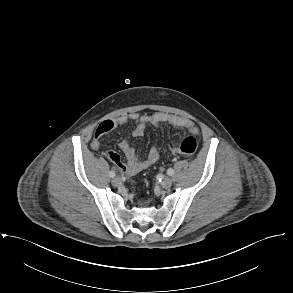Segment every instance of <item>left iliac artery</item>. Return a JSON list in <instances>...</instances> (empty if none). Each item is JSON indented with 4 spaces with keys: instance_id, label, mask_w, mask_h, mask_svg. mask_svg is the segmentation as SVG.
<instances>
[{
    "instance_id": "1",
    "label": "left iliac artery",
    "mask_w": 293,
    "mask_h": 293,
    "mask_svg": "<svg viewBox=\"0 0 293 293\" xmlns=\"http://www.w3.org/2000/svg\"><path fill=\"white\" fill-rule=\"evenodd\" d=\"M167 174L169 175V176H172L173 174H174V170L173 169H168L167 170Z\"/></svg>"
}]
</instances>
